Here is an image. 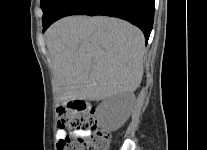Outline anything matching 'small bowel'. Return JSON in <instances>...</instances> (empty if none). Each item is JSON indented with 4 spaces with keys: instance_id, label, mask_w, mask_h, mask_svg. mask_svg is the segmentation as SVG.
Listing matches in <instances>:
<instances>
[{
    "instance_id": "small-bowel-1",
    "label": "small bowel",
    "mask_w": 207,
    "mask_h": 150,
    "mask_svg": "<svg viewBox=\"0 0 207 150\" xmlns=\"http://www.w3.org/2000/svg\"><path fill=\"white\" fill-rule=\"evenodd\" d=\"M89 131H87V130H80V131H75V132H73V136H86V135H89ZM68 136V134L66 133V131L65 130H63V129H59L57 132H56V137H57V139L58 140H60V139H63V138H65V137H67Z\"/></svg>"
}]
</instances>
